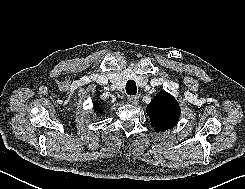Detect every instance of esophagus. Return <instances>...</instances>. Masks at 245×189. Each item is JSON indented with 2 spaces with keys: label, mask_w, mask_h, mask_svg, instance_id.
I'll return each instance as SVG.
<instances>
[{
  "label": "esophagus",
  "mask_w": 245,
  "mask_h": 189,
  "mask_svg": "<svg viewBox=\"0 0 245 189\" xmlns=\"http://www.w3.org/2000/svg\"><path fill=\"white\" fill-rule=\"evenodd\" d=\"M139 101V96H129L128 97V102L131 104H137Z\"/></svg>",
  "instance_id": "obj_1"
}]
</instances>
